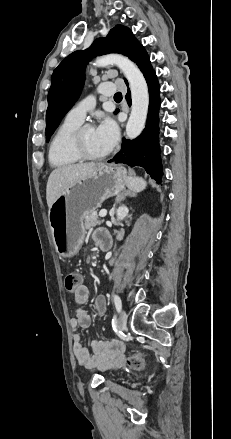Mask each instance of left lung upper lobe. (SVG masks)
Returning a JSON list of instances; mask_svg holds the SVG:
<instances>
[{"label": "left lung upper lobe", "mask_w": 231, "mask_h": 439, "mask_svg": "<svg viewBox=\"0 0 231 439\" xmlns=\"http://www.w3.org/2000/svg\"><path fill=\"white\" fill-rule=\"evenodd\" d=\"M144 50L127 27L117 25L105 38L96 39L87 50L75 51L67 56L52 74L46 112L47 141L78 99L84 81V68L91 58L107 53H121L135 62Z\"/></svg>", "instance_id": "1"}]
</instances>
